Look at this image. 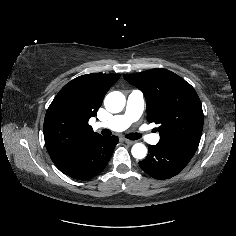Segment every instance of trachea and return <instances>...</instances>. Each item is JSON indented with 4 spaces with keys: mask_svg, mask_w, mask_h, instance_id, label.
Listing matches in <instances>:
<instances>
[{
    "mask_svg": "<svg viewBox=\"0 0 236 236\" xmlns=\"http://www.w3.org/2000/svg\"><path fill=\"white\" fill-rule=\"evenodd\" d=\"M102 134L104 136H110L111 135V131L108 130V129H103L102 130ZM125 137L128 138V139H131V140H137V139L141 138V135L138 134V133H130V134H127Z\"/></svg>",
    "mask_w": 236,
    "mask_h": 236,
    "instance_id": "1",
    "label": "trachea"
}]
</instances>
